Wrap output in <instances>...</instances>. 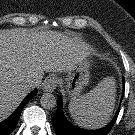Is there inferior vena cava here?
Segmentation results:
<instances>
[{
  "instance_id": "1",
  "label": "inferior vena cava",
  "mask_w": 135,
  "mask_h": 135,
  "mask_svg": "<svg viewBox=\"0 0 135 135\" xmlns=\"http://www.w3.org/2000/svg\"><path fill=\"white\" fill-rule=\"evenodd\" d=\"M35 86H36V83H35L34 81H29V82L26 84V87H27L28 89H33V88H35Z\"/></svg>"
}]
</instances>
